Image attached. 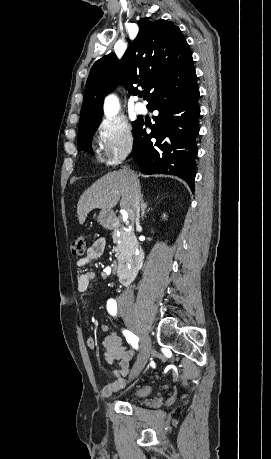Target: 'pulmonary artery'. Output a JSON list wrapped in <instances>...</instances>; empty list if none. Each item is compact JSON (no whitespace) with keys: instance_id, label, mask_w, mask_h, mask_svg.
I'll use <instances>...</instances> for the list:
<instances>
[{"instance_id":"obj_1","label":"pulmonary artery","mask_w":271,"mask_h":459,"mask_svg":"<svg viewBox=\"0 0 271 459\" xmlns=\"http://www.w3.org/2000/svg\"><path fill=\"white\" fill-rule=\"evenodd\" d=\"M133 112L135 114H146L147 113L146 105L143 102L136 100L135 103L133 104Z\"/></svg>"}]
</instances>
